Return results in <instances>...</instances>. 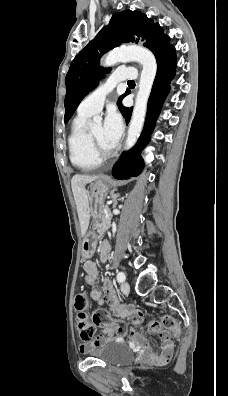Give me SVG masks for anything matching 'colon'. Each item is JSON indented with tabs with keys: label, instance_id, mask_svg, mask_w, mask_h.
<instances>
[{
	"label": "colon",
	"instance_id": "1",
	"mask_svg": "<svg viewBox=\"0 0 228 396\" xmlns=\"http://www.w3.org/2000/svg\"><path fill=\"white\" fill-rule=\"evenodd\" d=\"M87 298L84 295L76 297V308L81 311L87 306ZM80 336L83 340H90L94 335V326L110 327L119 336L126 335L128 331L127 324L121 320H113L105 309H97L92 316V322L87 319L83 314L77 318ZM162 328L170 331L175 337L181 334V326L179 322L170 315H164L161 321L152 320L149 322V329L151 332L160 333Z\"/></svg>",
	"mask_w": 228,
	"mask_h": 396
}]
</instances>
